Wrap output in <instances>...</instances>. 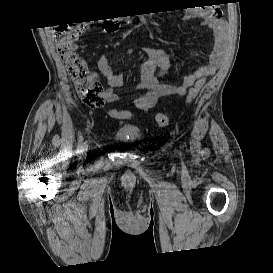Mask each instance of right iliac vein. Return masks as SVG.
<instances>
[{
    "label": "right iliac vein",
    "mask_w": 273,
    "mask_h": 273,
    "mask_svg": "<svg viewBox=\"0 0 273 273\" xmlns=\"http://www.w3.org/2000/svg\"><path fill=\"white\" fill-rule=\"evenodd\" d=\"M87 147H88V145H87V143L85 142V143H84V146H83V149H84V150H87Z\"/></svg>",
    "instance_id": "63e3f726"
}]
</instances>
